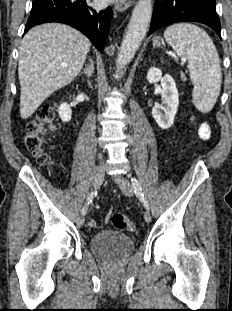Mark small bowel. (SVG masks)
Segmentation results:
<instances>
[{
    "label": "small bowel",
    "mask_w": 232,
    "mask_h": 311,
    "mask_svg": "<svg viewBox=\"0 0 232 311\" xmlns=\"http://www.w3.org/2000/svg\"><path fill=\"white\" fill-rule=\"evenodd\" d=\"M199 134H200L201 138H203L205 140L209 139V137H210L209 125L206 124V123L203 124L200 127ZM88 224L92 228H99L100 227V226L97 225L96 221L93 220V219L89 220Z\"/></svg>",
    "instance_id": "small-bowel-1"
}]
</instances>
